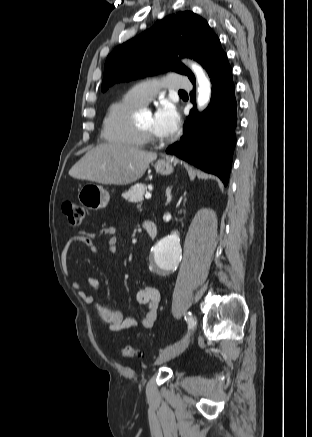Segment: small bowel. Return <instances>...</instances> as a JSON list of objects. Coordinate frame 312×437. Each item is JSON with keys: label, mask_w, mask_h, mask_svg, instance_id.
Here are the masks:
<instances>
[{"label": "small bowel", "mask_w": 312, "mask_h": 437, "mask_svg": "<svg viewBox=\"0 0 312 437\" xmlns=\"http://www.w3.org/2000/svg\"><path fill=\"white\" fill-rule=\"evenodd\" d=\"M99 235L108 237V251L114 253L117 249V235L114 226L103 227L99 232H90L86 230L77 231L70 239L69 244L83 242L91 248H95L93 240ZM88 288L93 292L88 294L72 281V287L78 292L84 302L92 306L97 314L98 320L111 331H122L132 329L139 323L143 328H151L157 318V312L160 302V296L157 288L146 285L136 291V300L138 303L145 305L146 310L139 320L134 317H124L118 310H112L96 299V293L99 290V280L95 277H89L86 280Z\"/></svg>", "instance_id": "obj_1"}]
</instances>
